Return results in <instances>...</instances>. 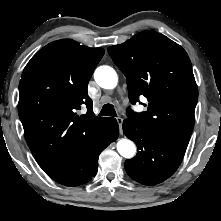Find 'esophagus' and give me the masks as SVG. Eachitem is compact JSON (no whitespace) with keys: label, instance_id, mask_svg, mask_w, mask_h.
Instances as JSON below:
<instances>
[{"label":"esophagus","instance_id":"esophagus-1","mask_svg":"<svg viewBox=\"0 0 221 221\" xmlns=\"http://www.w3.org/2000/svg\"><path fill=\"white\" fill-rule=\"evenodd\" d=\"M117 123L119 125L120 128V132H122V124H123V119L121 117L116 118Z\"/></svg>","mask_w":221,"mask_h":221}]
</instances>
